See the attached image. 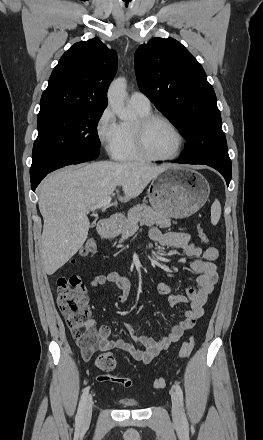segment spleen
<instances>
[{
  "mask_svg": "<svg viewBox=\"0 0 263 440\" xmlns=\"http://www.w3.org/2000/svg\"><path fill=\"white\" fill-rule=\"evenodd\" d=\"M221 216V205L218 199H215L211 206V223L217 225Z\"/></svg>",
  "mask_w": 263,
  "mask_h": 440,
  "instance_id": "1",
  "label": "spleen"
}]
</instances>
